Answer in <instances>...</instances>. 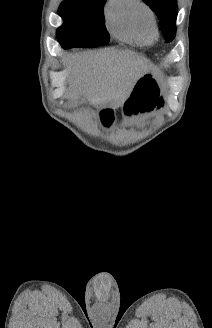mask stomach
<instances>
[{"mask_svg":"<svg viewBox=\"0 0 212 328\" xmlns=\"http://www.w3.org/2000/svg\"><path fill=\"white\" fill-rule=\"evenodd\" d=\"M161 94V84L156 74L152 71L143 73L134 83L131 92L123 104H120V106L103 105L100 109L96 110L97 116H103L101 122L98 124L99 127L118 128L119 122L112 121V119L113 117L116 120L126 119V114L116 113L120 111V107H123V105L125 107L128 106L127 109L130 112L133 111V106L147 110H152L155 107L160 108L163 105Z\"/></svg>","mask_w":212,"mask_h":328,"instance_id":"0dacf381","label":"stomach"}]
</instances>
